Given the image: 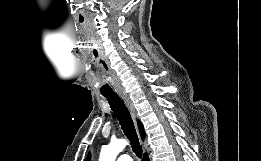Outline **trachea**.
<instances>
[{"label": "trachea", "instance_id": "1", "mask_svg": "<svg viewBox=\"0 0 261 161\" xmlns=\"http://www.w3.org/2000/svg\"><path fill=\"white\" fill-rule=\"evenodd\" d=\"M108 100L111 109L113 110L121 129L130 141L133 152L137 157H142V146L139 143L136 130L131 118V115L125 106L123 100L118 95H104Z\"/></svg>", "mask_w": 261, "mask_h": 161}]
</instances>
